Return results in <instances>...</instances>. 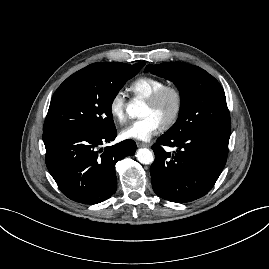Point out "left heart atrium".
Masks as SVG:
<instances>
[{
	"label": "left heart atrium",
	"instance_id": "39dd6f15",
	"mask_svg": "<svg viewBox=\"0 0 269 269\" xmlns=\"http://www.w3.org/2000/svg\"><path fill=\"white\" fill-rule=\"evenodd\" d=\"M161 127L162 124L156 117L147 115L129 123L120 134L123 139L147 141L159 132Z\"/></svg>",
	"mask_w": 269,
	"mask_h": 269
}]
</instances>
